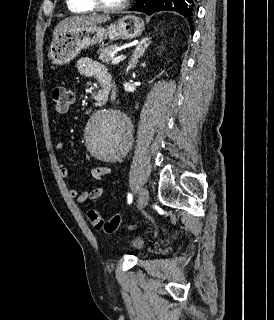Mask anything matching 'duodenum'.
<instances>
[{"mask_svg":"<svg viewBox=\"0 0 274 320\" xmlns=\"http://www.w3.org/2000/svg\"><path fill=\"white\" fill-rule=\"evenodd\" d=\"M107 101H108V94L106 92H99L92 99V103L97 106L102 105Z\"/></svg>","mask_w":274,"mask_h":320,"instance_id":"duodenum-1","label":"duodenum"}]
</instances>
